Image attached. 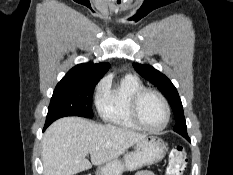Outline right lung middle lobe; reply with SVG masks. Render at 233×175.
<instances>
[{"label": "right lung middle lobe", "instance_id": "right-lung-middle-lobe-1", "mask_svg": "<svg viewBox=\"0 0 233 175\" xmlns=\"http://www.w3.org/2000/svg\"><path fill=\"white\" fill-rule=\"evenodd\" d=\"M98 79L75 82H59L48 108L46 129L55 120L65 116L92 118V95Z\"/></svg>", "mask_w": 233, "mask_h": 175}]
</instances>
